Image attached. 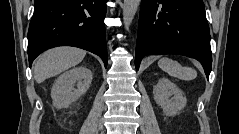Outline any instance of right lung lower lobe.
<instances>
[{"mask_svg":"<svg viewBox=\"0 0 239 134\" xmlns=\"http://www.w3.org/2000/svg\"><path fill=\"white\" fill-rule=\"evenodd\" d=\"M107 0H35L28 30L29 65L43 51L74 46L100 56L107 66Z\"/></svg>","mask_w":239,"mask_h":134,"instance_id":"right-lung-lower-lobe-1","label":"right lung lower lobe"}]
</instances>
